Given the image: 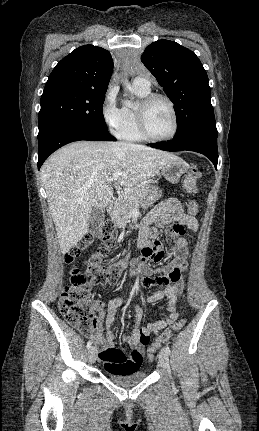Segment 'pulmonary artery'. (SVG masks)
Listing matches in <instances>:
<instances>
[{"label":"pulmonary artery","mask_w":259,"mask_h":431,"mask_svg":"<svg viewBox=\"0 0 259 431\" xmlns=\"http://www.w3.org/2000/svg\"><path fill=\"white\" fill-rule=\"evenodd\" d=\"M151 81L147 76H138L132 81V87H136L143 90H149Z\"/></svg>","instance_id":"pulmonary-artery-1"}]
</instances>
